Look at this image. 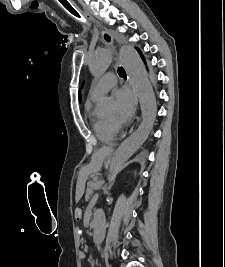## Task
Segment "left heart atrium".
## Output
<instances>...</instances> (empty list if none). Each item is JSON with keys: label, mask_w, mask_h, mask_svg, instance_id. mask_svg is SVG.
Wrapping results in <instances>:
<instances>
[{"label": "left heart atrium", "mask_w": 225, "mask_h": 267, "mask_svg": "<svg viewBox=\"0 0 225 267\" xmlns=\"http://www.w3.org/2000/svg\"><path fill=\"white\" fill-rule=\"evenodd\" d=\"M114 98L117 105L116 121L118 124L125 123L130 119L134 110V98L127 88H120L115 91Z\"/></svg>", "instance_id": "left-heart-atrium-1"}]
</instances>
